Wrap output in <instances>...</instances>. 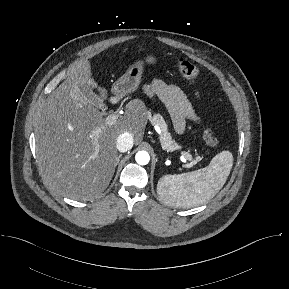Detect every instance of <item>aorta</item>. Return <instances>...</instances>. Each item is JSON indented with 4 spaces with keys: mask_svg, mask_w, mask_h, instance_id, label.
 <instances>
[{
    "mask_svg": "<svg viewBox=\"0 0 289 289\" xmlns=\"http://www.w3.org/2000/svg\"><path fill=\"white\" fill-rule=\"evenodd\" d=\"M135 160L139 165H146L149 163L150 156L146 151H139L135 156Z\"/></svg>",
    "mask_w": 289,
    "mask_h": 289,
    "instance_id": "762f6f07",
    "label": "aorta"
}]
</instances>
